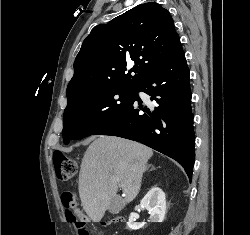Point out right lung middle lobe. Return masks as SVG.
Wrapping results in <instances>:
<instances>
[{
  "label": "right lung middle lobe",
  "instance_id": "1",
  "mask_svg": "<svg viewBox=\"0 0 250 235\" xmlns=\"http://www.w3.org/2000/svg\"><path fill=\"white\" fill-rule=\"evenodd\" d=\"M135 91L136 87L106 88L69 102L63 116L64 144L93 135L127 106Z\"/></svg>",
  "mask_w": 250,
  "mask_h": 235
}]
</instances>
